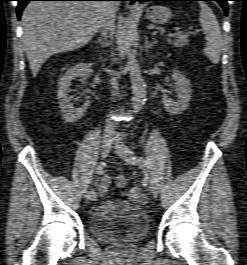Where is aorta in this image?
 Segmentation results:
<instances>
[{
	"instance_id": "762f6f07",
	"label": "aorta",
	"mask_w": 247,
	"mask_h": 265,
	"mask_svg": "<svg viewBox=\"0 0 247 265\" xmlns=\"http://www.w3.org/2000/svg\"><path fill=\"white\" fill-rule=\"evenodd\" d=\"M131 19H126L122 27L123 43L125 46V52L127 55V70L130 75V81L132 86V107L134 112H139L146 102L147 91L145 80L142 76L140 66L136 57V52L130 47L132 42V30Z\"/></svg>"
}]
</instances>
